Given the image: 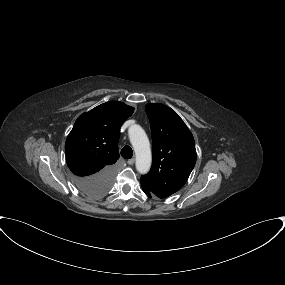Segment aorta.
<instances>
[{"instance_id":"1","label":"aorta","mask_w":285,"mask_h":285,"mask_svg":"<svg viewBox=\"0 0 285 285\" xmlns=\"http://www.w3.org/2000/svg\"><path fill=\"white\" fill-rule=\"evenodd\" d=\"M129 139L136 155V169L141 174L149 172L152 155L149 139L145 131L139 125L129 128Z\"/></svg>"}]
</instances>
